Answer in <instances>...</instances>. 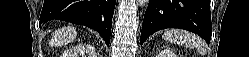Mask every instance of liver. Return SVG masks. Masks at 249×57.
<instances>
[{"instance_id":"obj_1","label":"liver","mask_w":249,"mask_h":57,"mask_svg":"<svg viewBox=\"0 0 249 57\" xmlns=\"http://www.w3.org/2000/svg\"><path fill=\"white\" fill-rule=\"evenodd\" d=\"M77 32L72 26L62 27L54 32L53 43L57 46L68 44L76 39Z\"/></svg>"}]
</instances>
